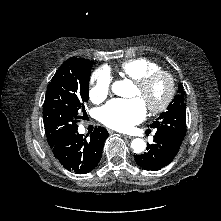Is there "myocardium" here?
<instances>
[{"label": "myocardium", "mask_w": 221, "mask_h": 221, "mask_svg": "<svg viewBox=\"0 0 221 221\" xmlns=\"http://www.w3.org/2000/svg\"><path fill=\"white\" fill-rule=\"evenodd\" d=\"M159 78H165L167 81V92L163 100L158 105H146L153 114L164 112L171 104L176 93V81L172 73L166 70L158 69L151 72L136 81V87L140 91H145L152 83Z\"/></svg>", "instance_id": "obj_1"}]
</instances>
